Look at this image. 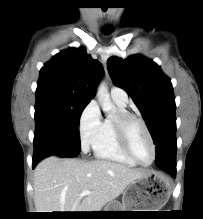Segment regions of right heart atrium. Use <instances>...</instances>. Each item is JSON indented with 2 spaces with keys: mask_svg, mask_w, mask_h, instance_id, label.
<instances>
[{
  "mask_svg": "<svg viewBox=\"0 0 203 219\" xmlns=\"http://www.w3.org/2000/svg\"><path fill=\"white\" fill-rule=\"evenodd\" d=\"M101 124L99 106L95 101H91L84 108L79 118V137L84 152H87L93 146Z\"/></svg>",
  "mask_w": 203,
  "mask_h": 219,
  "instance_id": "1",
  "label": "right heart atrium"
}]
</instances>
